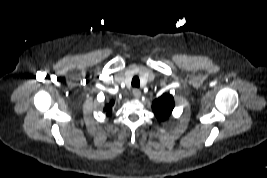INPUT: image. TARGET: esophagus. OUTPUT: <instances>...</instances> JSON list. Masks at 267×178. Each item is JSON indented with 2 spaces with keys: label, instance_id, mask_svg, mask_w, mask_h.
<instances>
[{
  "label": "esophagus",
  "instance_id": "esophagus-1",
  "mask_svg": "<svg viewBox=\"0 0 267 178\" xmlns=\"http://www.w3.org/2000/svg\"><path fill=\"white\" fill-rule=\"evenodd\" d=\"M132 94H133L134 98H136V99H139L141 97V91L139 89H134L132 91Z\"/></svg>",
  "mask_w": 267,
  "mask_h": 178
}]
</instances>
